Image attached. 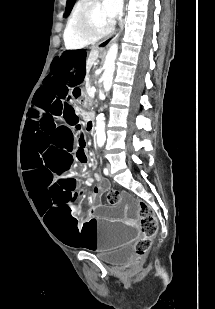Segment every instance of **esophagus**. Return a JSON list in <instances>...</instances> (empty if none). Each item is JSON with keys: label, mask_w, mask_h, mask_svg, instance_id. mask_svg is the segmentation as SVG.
Returning <instances> with one entry per match:
<instances>
[{"label": "esophagus", "mask_w": 215, "mask_h": 309, "mask_svg": "<svg viewBox=\"0 0 215 309\" xmlns=\"http://www.w3.org/2000/svg\"><path fill=\"white\" fill-rule=\"evenodd\" d=\"M122 30H123V24L121 25L120 29L112 37H109L108 39L102 40V42H100L98 44V47L102 48V49L108 48L109 45H111V43L114 42V40H116L119 37Z\"/></svg>", "instance_id": "1"}]
</instances>
